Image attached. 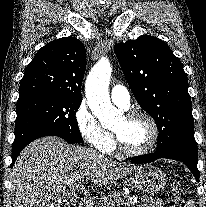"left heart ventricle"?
I'll return each instance as SVG.
<instances>
[{
  "mask_svg": "<svg viewBox=\"0 0 206 207\" xmlns=\"http://www.w3.org/2000/svg\"><path fill=\"white\" fill-rule=\"evenodd\" d=\"M126 148L137 150L144 148L151 139V128L148 122L138 118L127 120L122 117L114 128Z\"/></svg>",
  "mask_w": 206,
  "mask_h": 207,
  "instance_id": "obj_1",
  "label": "left heart ventricle"
}]
</instances>
